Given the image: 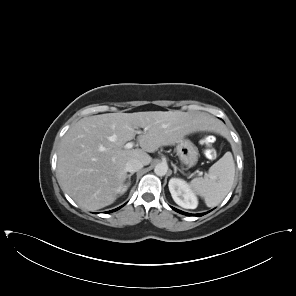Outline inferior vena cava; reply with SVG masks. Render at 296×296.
Wrapping results in <instances>:
<instances>
[{"instance_id": "602c4592", "label": "inferior vena cava", "mask_w": 296, "mask_h": 296, "mask_svg": "<svg viewBox=\"0 0 296 296\" xmlns=\"http://www.w3.org/2000/svg\"><path fill=\"white\" fill-rule=\"evenodd\" d=\"M143 163L138 159H131L126 163V171L134 173L143 168Z\"/></svg>"}]
</instances>
